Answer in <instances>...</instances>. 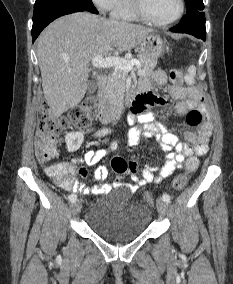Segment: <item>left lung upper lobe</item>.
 Returning <instances> with one entry per match:
<instances>
[{
    "label": "left lung upper lobe",
    "mask_w": 233,
    "mask_h": 284,
    "mask_svg": "<svg viewBox=\"0 0 233 284\" xmlns=\"http://www.w3.org/2000/svg\"><path fill=\"white\" fill-rule=\"evenodd\" d=\"M185 2L187 11L183 20H187L193 16L198 15V12L204 9L202 0H185Z\"/></svg>",
    "instance_id": "left-lung-upper-lobe-1"
}]
</instances>
